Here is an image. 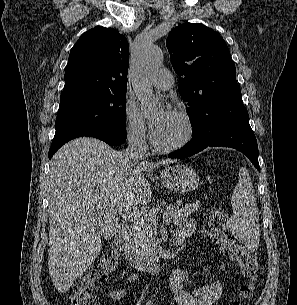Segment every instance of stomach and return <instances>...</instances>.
Segmentation results:
<instances>
[{
  "mask_svg": "<svg viewBox=\"0 0 297 305\" xmlns=\"http://www.w3.org/2000/svg\"><path fill=\"white\" fill-rule=\"evenodd\" d=\"M162 183L177 193H186L199 186V176L194 169L186 165L169 166L161 172Z\"/></svg>",
  "mask_w": 297,
  "mask_h": 305,
  "instance_id": "0dacf381",
  "label": "stomach"
}]
</instances>
